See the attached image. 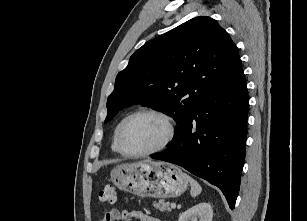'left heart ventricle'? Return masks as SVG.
Wrapping results in <instances>:
<instances>
[{
	"label": "left heart ventricle",
	"instance_id": "1",
	"mask_svg": "<svg viewBox=\"0 0 307 221\" xmlns=\"http://www.w3.org/2000/svg\"><path fill=\"white\" fill-rule=\"evenodd\" d=\"M166 134V127L161 119L153 115L136 117L128 125L123 146L130 153H141L159 145Z\"/></svg>",
	"mask_w": 307,
	"mask_h": 221
}]
</instances>
